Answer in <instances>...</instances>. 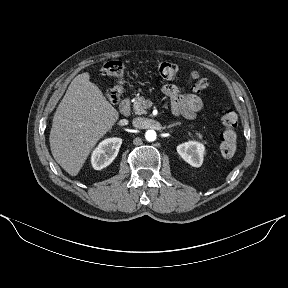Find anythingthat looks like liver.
Segmentation results:
<instances>
[{"label":"liver","instance_id":"1","mask_svg":"<svg viewBox=\"0 0 288 288\" xmlns=\"http://www.w3.org/2000/svg\"><path fill=\"white\" fill-rule=\"evenodd\" d=\"M87 72L70 83L53 117L49 142L56 162L76 176L96 143L119 118Z\"/></svg>","mask_w":288,"mask_h":288}]
</instances>
